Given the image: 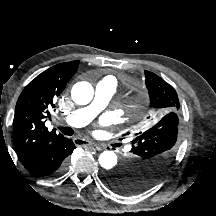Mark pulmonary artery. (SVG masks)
<instances>
[{
    "label": "pulmonary artery",
    "mask_w": 216,
    "mask_h": 216,
    "mask_svg": "<svg viewBox=\"0 0 216 216\" xmlns=\"http://www.w3.org/2000/svg\"><path fill=\"white\" fill-rule=\"evenodd\" d=\"M117 88L116 80L107 76L95 86L93 101L79 108L64 118V123L71 127H83L90 123L109 103Z\"/></svg>",
    "instance_id": "pulmonary-artery-1"
}]
</instances>
